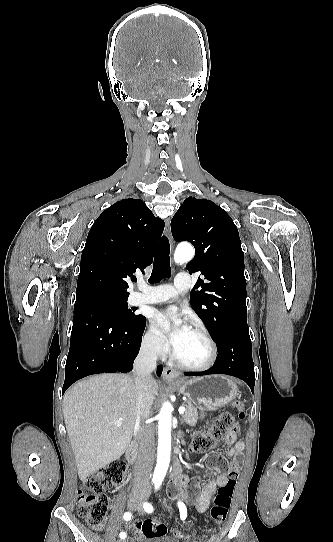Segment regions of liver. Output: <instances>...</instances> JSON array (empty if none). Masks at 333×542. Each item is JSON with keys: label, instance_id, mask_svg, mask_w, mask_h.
I'll return each instance as SVG.
<instances>
[{"label": "liver", "instance_id": "liver-1", "mask_svg": "<svg viewBox=\"0 0 333 542\" xmlns=\"http://www.w3.org/2000/svg\"><path fill=\"white\" fill-rule=\"evenodd\" d=\"M135 380V374H100L66 392L63 416L81 482L127 450L137 412ZM150 390L157 396L156 380Z\"/></svg>", "mask_w": 333, "mask_h": 542}]
</instances>
